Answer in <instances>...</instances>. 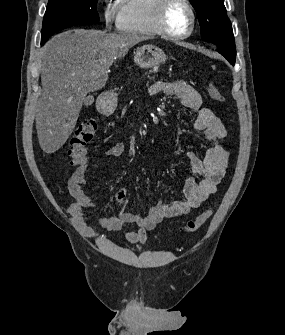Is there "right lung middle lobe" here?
Masks as SVG:
<instances>
[{"label": "right lung middle lobe", "instance_id": "dd1d6c3e", "mask_svg": "<svg viewBox=\"0 0 285 335\" xmlns=\"http://www.w3.org/2000/svg\"><path fill=\"white\" fill-rule=\"evenodd\" d=\"M98 0H49L44 15L41 41L66 27L99 22Z\"/></svg>", "mask_w": 285, "mask_h": 335}]
</instances>
